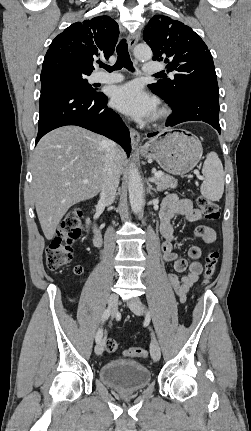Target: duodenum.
Masks as SVG:
<instances>
[{
  "instance_id": "1",
  "label": "duodenum",
  "mask_w": 251,
  "mask_h": 431,
  "mask_svg": "<svg viewBox=\"0 0 251 431\" xmlns=\"http://www.w3.org/2000/svg\"><path fill=\"white\" fill-rule=\"evenodd\" d=\"M93 231H94V241L96 245H100L102 242V234L99 224L94 221L93 223Z\"/></svg>"
}]
</instances>
